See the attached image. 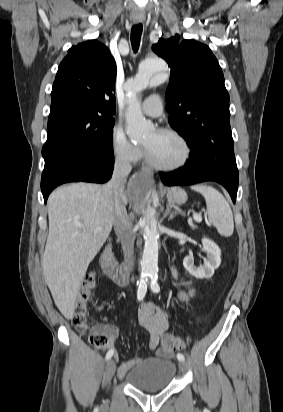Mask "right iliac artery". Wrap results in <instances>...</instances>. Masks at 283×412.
<instances>
[{
    "instance_id": "right-iliac-artery-1",
    "label": "right iliac artery",
    "mask_w": 283,
    "mask_h": 412,
    "mask_svg": "<svg viewBox=\"0 0 283 412\" xmlns=\"http://www.w3.org/2000/svg\"><path fill=\"white\" fill-rule=\"evenodd\" d=\"M146 292H147V284L145 280H142L139 284V288L137 291V299L141 301L144 298ZM113 353H114L113 350H109L106 354V360L110 359Z\"/></svg>"
}]
</instances>
